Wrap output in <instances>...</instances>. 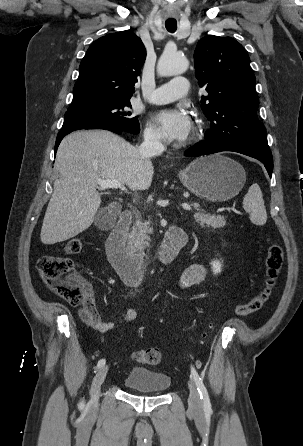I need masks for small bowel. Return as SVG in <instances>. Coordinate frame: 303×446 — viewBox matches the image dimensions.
<instances>
[{"label":"small bowel","instance_id":"small-bowel-1","mask_svg":"<svg viewBox=\"0 0 303 446\" xmlns=\"http://www.w3.org/2000/svg\"><path fill=\"white\" fill-rule=\"evenodd\" d=\"M208 273V269L205 265L194 263L189 265L182 272L179 278V286L182 289H186L192 285L202 282ZM86 300L84 304L78 308L77 314L79 318L89 327L98 331H109L119 325L131 322L137 318V310L134 308L128 309L122 318L117 322H104L97 309L94 292L90 285L82 283Z\"/></svg>","mask_w":303,"mask_h":446}]
</instances>
